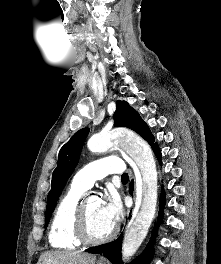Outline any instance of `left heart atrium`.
<instances>
[{"label":"left heart atrium","mask_w":221,"mask_h":264,"mask_svg":"<svg viewBox=\"0 0 221 264\" xmlns=\"http://www.w3.org/2000/svg\"><path fill=\"white\" fill-rule=\"evenodd\" d=\"M102 208L105 216L114 225L121 214V204L117 197L112 196L108 200L102 202Z\"/></svg>","instance_id":"obj_1"}]
</instances>
